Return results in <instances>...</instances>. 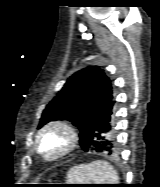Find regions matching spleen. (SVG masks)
<instances>
[{"mask_svg": "<svg viewBox=\"0 0 160 187\" xmlns=\"http://www.w3.org/2000/svg\"><path fill=\"white\" fill-rule=\"evenodd\" d=\"M115 169L107 161H94L72 167L67 174L69 184H116Z\"/></svg>", "mask_w": 160, "mask_h": 187, "instance_id": "1", "label": "spleen"}]
</instances>
